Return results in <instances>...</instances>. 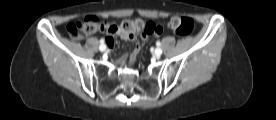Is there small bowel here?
<instances>
[{"label": "small bowel", "mask_w": 276, "mask_h": 120, "mask_svg": "<svg viewBox=\"0 0 276 120\" xmlns=\"http://www.w3.org/2000/svg\"><path fill=\"white\" fill-rule=\"evenodd\" d=\"M142 38L146 39L147 36L143 35ZM106 43H107L108 47H112L114 45V39L112 37H108L106 39ZM139 49H140V45L138 43H136L134 51H133V53H132V55H131V57L129 59V65H132L134 63L136 55H137Z\"/></svg>", "instance_id": "1"}]
</instances>
